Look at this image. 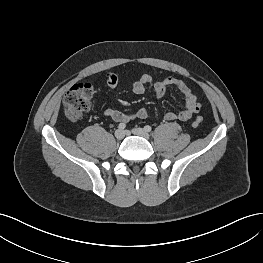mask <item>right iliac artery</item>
<instances>
[{
	"mask_svg": "<svg viewBox=\"0 0 263 263\" xmlns=\"http://www.w3.org/2000/svg\"><path fill=\"white\" fill-rule=\"evenodd\" d=\"M118 128H119L120 130H124V129L126 128V124H125V123H120V124L118 125Z\"/></svg>",
	"mask_w": 263,
	"mask_h": 263,
	"instance_id": "1",
	"label": "right iliac artery"
}]
</instances>
